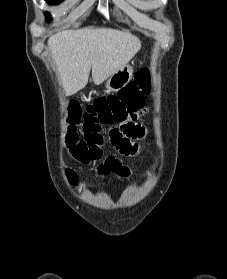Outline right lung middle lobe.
Wrapping results in <instances>:
<instances>
[{"label":"right lung middle lobe","instance_id":"right-lung-middle-lobe-1","mask_svg":"<svg viewBox=\"0 0 227 279\" xmlns=\"http://www.w3.org/2000/svg\"><path fill=\"white\" fill-rule=\"evenodd\" d=\"M49 4H59L62 0H46Z\"/></svg>","mask_w":227,"mask_h":279}]
</instances>
